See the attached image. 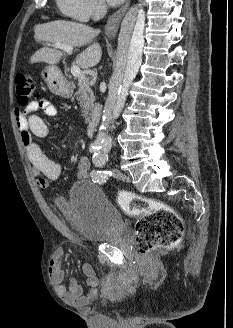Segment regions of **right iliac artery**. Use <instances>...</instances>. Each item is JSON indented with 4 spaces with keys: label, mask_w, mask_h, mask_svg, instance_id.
<instances>
[{
    "label": "right iliac artery",
    "mask_w": 233,
    "mask_h": 328,
    "mask_svg": "<svg viewBox=\"0 0 233 328\" xmlns=\"http://www.w3.org/2000/svg\"><path fill=\"white\" fill-rule=\"evenodd\" d=\"M101 146H98V145H96V144H92L91 145V148H90V152H92V153H96V152H98L99 150H101Z\"/></svg>",
    "instance_id": "82829eb1"
}]
</instances>
